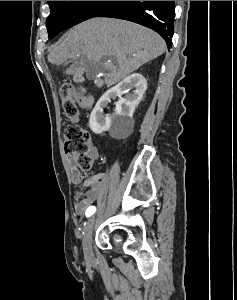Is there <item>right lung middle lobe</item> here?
Returning <instances> with one entry per match:
<instances>
[{"label": "right lung middle lobe", "mask_w": 237, "mask_h": 300, "mask_svg": "<svg viewBox=\"0 0 237 300\" xmlns=\"http://www.w3.org/2000/svg\"><path fill=\"white\" fill-rule=\"evenodd\" d=\"M89 2L87 7L82 3ZM105 1H48L50 15L46 20L49 37L90 19Z\"/></svg>", "instance_id": "dd1d6c3e"}]
</instances>
